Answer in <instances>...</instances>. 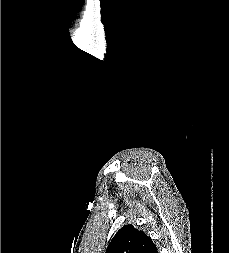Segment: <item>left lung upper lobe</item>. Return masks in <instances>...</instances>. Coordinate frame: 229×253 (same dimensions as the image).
I'll return each mask as SVG.
<instances>
[{"label":"left lung upper lobe","mask_w":229,"mask_h":253,"mask_svg":"<svg viewBox=\"0 0 229 253\" xmlns=\"http://www.w3.org/2000/svg\"><path fill=\"white\" fill-rule=\"evenodd\" d=\"M106 253H157V248L143 231L125 225L113 237Z\"/></svg>","instance_id":"5c2ea615"}]
</instances>
